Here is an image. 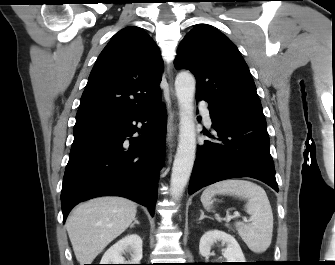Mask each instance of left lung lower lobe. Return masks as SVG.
I'll use <instances>...</instances> for the list:
<instances>
[{"instance_id":"1","label":"left lung lower lobe","mask_w":335,"mask_h":265,"mask_svg":"<svg viewBox=\"0 0 335 265\" xmlns=\"http://www.w3.org/2000/svg\"><path fill=\"white\" fill-rule=\"evenodd\" d=\"M196 100L202 98L196 96ZM208 109L216 133L203 132L211 140L198 146L188 193L238 177L261 180L278 192L267 129L212 105Z\"/></svg>"}]
</instances>
